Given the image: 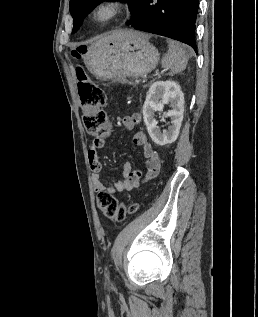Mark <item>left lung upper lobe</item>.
Listing matches in <instances>:
<instances>
[{"label":"left lung upper lobe","instance_id":"left-lung-upper-lobe-1","mask_svg":"<svg viewBox=\"0 0 258 317\" xmlns=\"http://www.w3.org/2000/svg\"><path fill=\"white\" fill-rule=\"evenodd\" d=\"M105 0H70V13L74 20V27L72 32L75 33L80 26L84 18L90 13L99 3ZM116 1V0H107ZM127 2L129 1V6L132 12V18L137 14L139 6L143 0H120Z\"/></svg>","mask_w":258,"mask_h":317}]
</instances>
